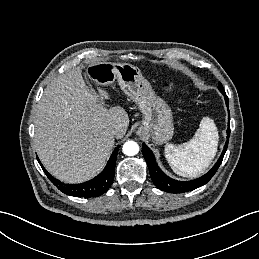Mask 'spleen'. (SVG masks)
<instances>
[{
    "label": "spleen",
    "instance_id": "1",
    "mask_svg": "<svg viewBox=\"0 0 259 259\" xmlns=\"http://www.w3.org/2000/svg\"><path fill=\"white\" fill-rule=\"evenodd\" d=\"M218 140V130L214 121L204 117L194 137L188 142L181 145H165V157L176 174L196 177L203 173L214 159Z\"/></svg>",
    "mask_w": 259,
    "mask_h": 259
}]
</instances>
